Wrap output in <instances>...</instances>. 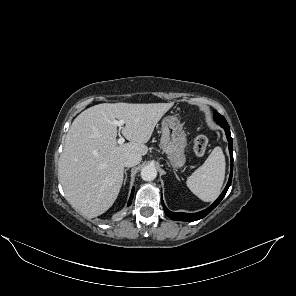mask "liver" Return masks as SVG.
I'll list each match as a JSON object with an SVG mask.
<instances>
[{"instance_id": "1", "label": "liver", "mask_w": 296, "mask_h": 296, "mask_svg": "<svg viewBox=\"0 0 296 296\" xmlns=\"http://www.w3.org/2000/svg\"><path fill=\"white\" fill-rule=\"evenodd\" d=\"M173 105L103 103L74 119L59 159L58 178L76 211L93 218L113 205L122 186L125 158L147 154L145 144ZM116 119L124 122L121 133L128 143L117 144Z\"/></svg>"}]
</instances>
